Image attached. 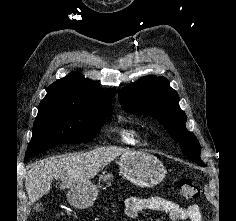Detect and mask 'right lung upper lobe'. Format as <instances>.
Instances as JSON below:
<instances>
[{
  "instance_id": "1",
  "label": "right lung upper lobe",
  "mask_w": 236,
  "mask_h": 221,
  "mask_svg": "<svg viewBox=\"0 0 236 221\" xmlns=\"http://www.w3.org/2000/svg\"><path fill=\"white\" fill-rule=\"evenodd\" d=\"M115 89H101L94 82L71 72L50 85L40 105H111Z\"/></svg>"
}]
</instances>
